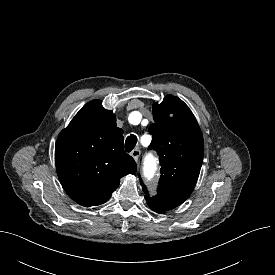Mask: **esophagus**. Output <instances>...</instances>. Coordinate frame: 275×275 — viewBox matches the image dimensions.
Here are the masks:
<instances>
[{
	"instance_id": "obj_1",
	"label": "esophagus",
	"mask_w": 275,
	"mask_h": 275,
	"mask_svg": "<svg viewBox=\"0 0 275 275\" xmlns=\"http://www.w3.org/2000/svg\"><path fill=\"white\" fill-rule=\"evenodd\" d=\"M140 153V150L136 148L131 152V156L134 158L135 161H138Z\"/></svg>"
}]
</instances>
